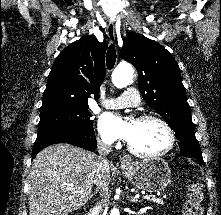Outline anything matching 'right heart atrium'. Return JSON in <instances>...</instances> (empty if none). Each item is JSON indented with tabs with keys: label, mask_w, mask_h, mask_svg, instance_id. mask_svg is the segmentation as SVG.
<instances>
[{
	"label": "right heart atrium",
	"mask_w": 221,
	"mask_h": 215,
	"mask_svg": "<svg viewBox=\"0 0 221 215\" xmlns=\"http://www.w3.org/2000/svg\"><path fill=\"white\" fill-rule=\"evenodd\" d=\"M100 141L102 143H105V144H109L110 143V140L106 139V138H101Z\"/></svg>",
	"instance_id": "right-heart-atrium-1"
}]
</instances>
